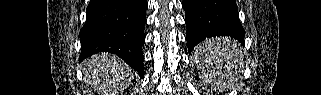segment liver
<instances>
[{
	"instance_id": "liver-1",
	"label": "liver",
	"mask_w": 321,
	"mask_h": 95,
	"mask_svg": "<svg viewBox=\"0 0 321 95\" xmlns=\"http://www.w3.org/2000/svg\"><path fill=\"white\" fill-rule=\"evenodd\" d=\"M87 82L98 95H118L135 78V72L112 54H96L84 62Z\"/></svg>"
}]
</instances>
